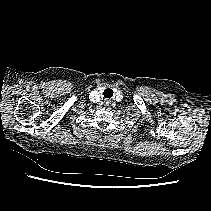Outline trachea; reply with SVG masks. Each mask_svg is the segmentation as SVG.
I'll return each mask as SVG.
<instances>
[{
	"label": "trachea",
	"instance_id": "3493384b",
	"mask_svg": "<svg viewBox=\"0 0 211 211\" xmlns=\"http://www.w3.org/2000/svg\"><path fill=\"white\" fill-rule=\"evenodd\" d=\"M105 91H106V93H110L111 94L112 90L111 89H106Z\"/></svg>",
	"mask_w": 211,
	"mask_h": 211
}]
</instances>
